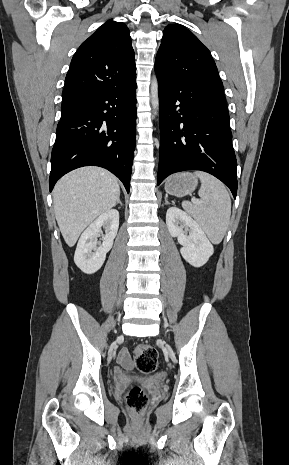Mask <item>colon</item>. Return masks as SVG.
Masks as SVG:
<instances>
[{
  "label": "colon",
  "mask_w": 289,
  "mask_h": 465,
  "mask_svg": "<svg viewBox=\"0 0 289 465\" xmlns=\"http://www.w3.org/2000/svg\"><path fill=\"white\" fill-rule=\"evenodd\" d=\"M137 369L142 373L154 372L159 364L156 349L150 345H139L135 350ZM126 403L135 413H140L148 403V396L140 386H133L126 394Z\"/></svg>",
  "instance_id": "5ec220e1"
}]
</instances>
